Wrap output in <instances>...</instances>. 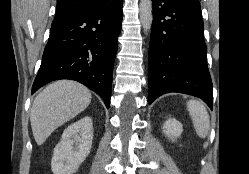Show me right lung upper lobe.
Wrapping results in <instances>:
<instances>
[{
  "instance_id": "right-lung-upper-lobe-1",
  "label": "right lung upper lobe",
  "mask_w": 249,
  "mask_h": 174,
  "mask_svg": "<svg viewBox=\"0 0 249 174\" xmlns=\"http://www.w3.org/2000/svg\"><path fill=\"white\" fill-rule=\"evenodd\" d=\"M116 0H58L53 22L65 19L79 12L107 6Z\"/></svg>"
}]
</instances>
